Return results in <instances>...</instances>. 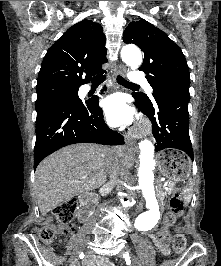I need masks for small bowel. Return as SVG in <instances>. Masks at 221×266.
Returning <instances> with one entry per match:
<instances>
[{
    "mask_svg": "<svg viewBox=\"0 0 221 266\" xmlns=\"http://www.w3.org/2000/svg\"><path fill=\"white\" fill-rule=\"evenodd\" d=\"M182 230L181 227H177V231L180 232ZM150 239L154 242L156 248L162 255H168L169 254V247L167 242L162 243L158 236L155 234L149 235ZM86 266H115L114 263L105 256H99V257H92L89 258L86 261Z\"/></svg>",
    "mask_w": 221,
    "mask_h": 266,
    "instance_id": "small-bowel-1",
    "label": "small bowel"
}]
</instances>
